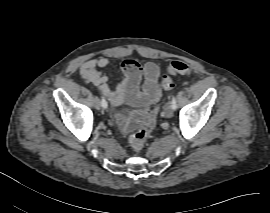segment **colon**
I'll return each mask as SVG.
<instances>
[{
    "label": "colon",
    "instance_id": "colon-1",
    "mask_svg": "<svg viewBox=\"0 0 270 213\" xmlns=\"http://www.w3.org/2000/svg\"><path fill=\"white\" fill-rule=\"evenodd\" d=\"M191 66L182 61L175 60L169 63L167 73L161 78L162 87L166 90H171L174 87L172 75L175 74H190ZM158 107H154L152 113L148 116L146 122L130 133L128 142L130 147L139 152L143 149L147 136L155 129L157 120Z\"/></svg>",
    "mask_w": 270,
    "mask_h": 213
}]
</instances>
